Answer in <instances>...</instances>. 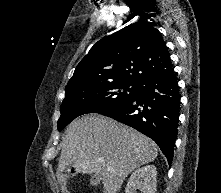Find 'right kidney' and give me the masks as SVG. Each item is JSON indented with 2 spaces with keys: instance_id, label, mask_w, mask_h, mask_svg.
Wrapping results in <instances>:
<instances>
[{
  "instance_id": "right-kidney-1",
  "label": "right kidney",
  "mask_w": 221,
  "mask_h": 193,
  "mask_svg": "<svg viewBox=\"0 0 221 193\" xmlns=\"http://www.w3.org/2000/svg\"><path fill=\"white\" fill-rule=\"evenodd\" d=\"M157 171L154 165L138 168L133 172L127 183L125 193H155L157 187Z\"/></svg>"
}]
</instances>
